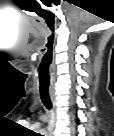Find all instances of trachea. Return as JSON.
I'll return each mask as SVG.
<instances>
[{
    "instance_id": "trachea-1",
    "label": "trachea",
    "mask_w": 114,
    "mask_h": 136,
    "mask_svg": "<svg viewBox=\"0 0 114 136\" xmlns=\"http://www.w3.org/2000/svg\"><path fill=\"white\" fill-rule=\"evenodd\" d=\"M41 72H42V75L46 77V81L40 80V84H39L41 100L43 104L45 105V107L50 110L52 108V103L50 100V93H49V86H50L49 73L44 70H42Z\"/></svg>"
}]
</instances>
